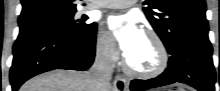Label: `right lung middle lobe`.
<instances>
[{
  "label": "right lung middle lobe",
  "mask_w": 220,
  "mask_h": 91,
  "mask_svg": "<svg viewBox=\"0 0 220 91\" xmlns=\"http://www.w3.org/2000/svg\"><path fill=\"white\" fill-rule=\"evenodd\" d=\"M75 13L76 10L55 13L19 26L49 27L77 40L92 37L96 33L97 23L87 22L86 16L77 19Z\"/></svg>",
  "instance_id": "1"
}]
</instances>
